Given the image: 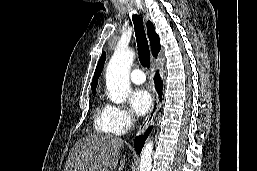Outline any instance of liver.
<instances>
[{"mask_svg": "<svg viewBox=\"0 0 257 171\" xmlns=\"http://www.w3.org/2000/svg\"><path fill=\"white\" fill-rule=\"evenodd\" d=\"M123 139L110 135H87L71 149L64 171H114L119 162ZM125 165L120 161L119 171Z\"/></svg>", "mask_w": 257, "mask_h": 171, "instance_id": "1", "label": "liver"}]
</instances>
